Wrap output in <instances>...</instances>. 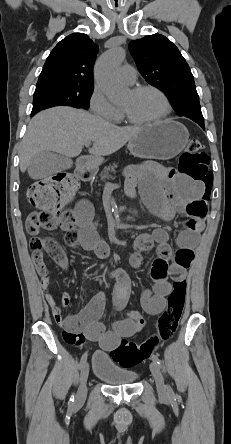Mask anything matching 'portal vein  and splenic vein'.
Here are the masks:
<instances>
[{
  "mask_svg": "<svg viewBox=\"0 0 231 444\" xmlns=\"http://www.w3.org/2000/svg\"><path fill=\"white\" fill-rule=\"evenodd\" d=\"M91 145V143H89V142H86L85 143V146L86 147H89ZM106 186H109V187H114V185L112 184V183H110V182H106V184H105Z\"/></svg>",
  "mask_w": 231,
  "mask_h": 444,
  "instance_id": "1",
  "label": "portal vein and splenic vein"
}]
</instances>
